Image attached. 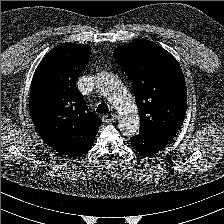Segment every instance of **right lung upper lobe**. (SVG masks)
Returning <instances> with one entry per match:
<instances>
[{
    "label": "right lung upper lobe",
    "instance_id": "right-lung-upper-lobe-1",
    "mask_svg": "<svg viewBox=\"0 0 224 224\" xmlns=\"http://www.w3.org/2000/svg\"><path fill=\"white\" fill-rule=\"evenodd\" d=\"M90 53L88 45L55 47L42 59L31 83L29 107L36 130L50 147L72 157L91 148L102 123L76 87Z\"/></svg>",
    "mask_w": 224,
    "mask_h": 224
}]
</instances>
